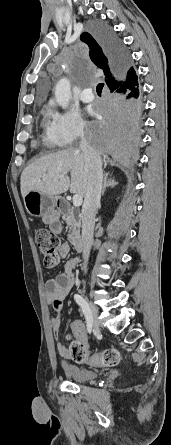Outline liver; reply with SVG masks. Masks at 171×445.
<instances>
[{"instance_id":"liver-1","label":"liver","mask_w":171,"mask_h":445,"mask_svg":"<svg viewBox=\"0 0 171 445\" xmlns=\"http://www.w3.org/2000/svg\"><path fill=\"white\" fill-rule=\"evenodd\" d=\"M70 172L71 178L67 176ZM63 175V178H60ZM88 170L80 149L68 148L45 155L28 165L21 174V194L30 191L56 197L66 192L84 197L88 185Z\"/></svg>"}]
</instances>
